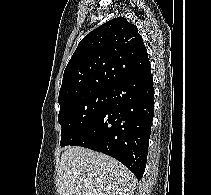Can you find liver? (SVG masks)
<instances>
[{
    "mask_svg": "<svg viewBox=\"0 0 211 195\" xmlns=\"http://www.w3.org/2000/svg\"><path fill=\"white\" fill-rule=\"evenodd\" d=\"M59 195H133L136 178L114 158L67 146L59 168Z\"/></svg>",
    "mask_w": 211,
    "mask_h": 195,
    "instance_id": "1",
    "label": "liver"
}]
</instances>
